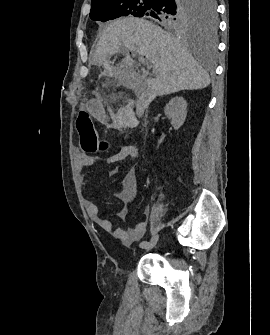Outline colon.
Wrapping results in <instances>:
<instances>
[{"label": "colon", "instance_id": "1", "mask_svg": "<svg viewBox=\"0 0 270 335\" xmlns=\"http://www.w3.org/2000/svg\"><path fill=\"white\" fill-rule=\"evenodd\" d=\"M76 123L79 134H83V150L87 154L105 153L108 150V142L100 139L93 124V116H88V110H77Z\"/></svg>", "mask_w": 270, "mask_h": 335}]
</instances>
